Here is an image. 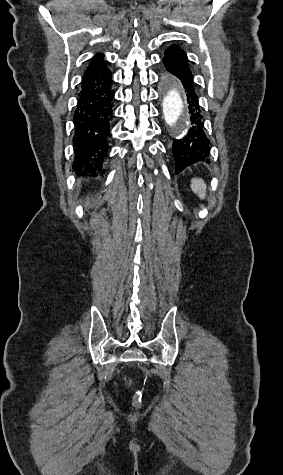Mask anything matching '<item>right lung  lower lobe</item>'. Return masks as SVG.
<instances>
[{
  "instance_id": "1",
  "label": "right lung lower lobe",
  "mask_w": 283,
  "mask_h": 475,
  "mask_svg": "<svg viewBox=\"0 0 283 475\" xmlns=\"http://www.w3.org/2000/svg\"><path fill=\"white\" fill-rule=\"evenodd\" d=\"M111 72L108 68L98 72H85L80 83L77 105L74 110L75 160L76 173L102 172L104 160L108 155L107 140L113 114ZM85 175L87 173H84Z\"/></svg>"
}]
</instances>
